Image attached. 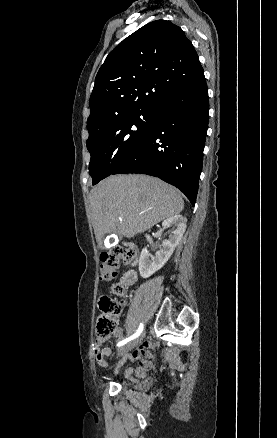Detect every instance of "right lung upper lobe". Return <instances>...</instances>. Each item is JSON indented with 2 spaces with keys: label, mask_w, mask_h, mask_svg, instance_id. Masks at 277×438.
I'll list each match as a JSON object with an SVG mask.
<instances>
[{
  "label": "right lung upper lobe",
  "mask_w": 277,
  "mask_h": 438,
  "mask_svg": "<svg viewBox=\"0 0 277 438\" xmlns=\"http://www.w3.org/2000/svg\"><path fill=\"white\" fill-rule=\"evenodd\" d=\"M203 72L180 27L166 20L150 22L112 50L99 69L87 128L115 116L155 109L165 95Z\"/></svg>",
  "instance_id": "obj_1"
}]
</instances>
